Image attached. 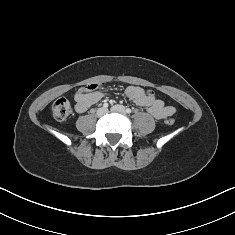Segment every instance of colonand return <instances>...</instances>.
<instances>
[{
  "label": "colon",
  "instance_id": "1",
  "mask_svg": "<svg viewBox=\"0 0 235 235\" xmlns=\"http://www.w3.org/2000/svg\"><path fill=\"white\" fill-rule=\"evenodd\" d=\"M102 84L93 83L85 87V91L92 92L100 88ZM148 96L155 97L152 91L147 92ZM72 108L70 102L65 98L57 99L52 105V114L53 117L58 121L66 120L71 114ZM174 123L173 118H168L166 120L167 125H172Z\"/></svg>",
  "mask_w": 235,
  "mask_h": 235
}]
</instances>
